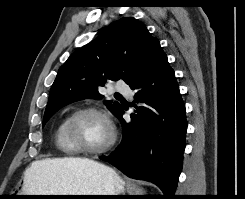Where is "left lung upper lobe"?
Returning a JSON list of instances; mask_svg holds the SVG:
<instances>
[{
    "label": "left lung upper lobe",
    "instance_id": "5c2ea615",
    "mask_svg": "<svg viewBox=\"0 0 245 199\" xmlns=\"http://www.w3.org/2000/svg\"><path fill=\"white\" fill-rule=\"evenodd\" d=\"M162 50L158 39L135 18H121L91 43L75 51L60 67L52 85L43 126L62 107L87 98L101 99L100 86L123 79L128 85L140 78ZM118 116L119 102L104 101Z\"/></svg>",
    "mask_w": 245,
    "mask_h": 199
}]
</instances>
